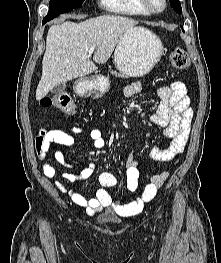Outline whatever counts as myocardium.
<instances>
[{"label": "myocardium", "instance_id": "obj_1", "mask_svg": "<svg viewBox=\"0 0 221 263\" xmlns=\"http://www.w3.org/2000/svg\"><path fill=\"white\" fill-rule=\"evenodd\" d=\"M143 3V6L146 8V10L151 14H159L163 12L166 9L167 1L166 0H160V6H155L153 3V0H141Z\"/></svg>", "mask_w": 221, "mask_h": 263}]
</instances>
